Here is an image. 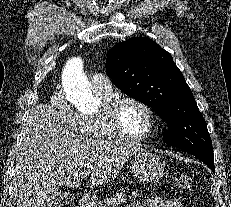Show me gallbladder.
Returning a JSON list of instances; mask_svg holds the SVG:
<instances>
[{
  "instance_id": "bac80fb5",
  "label": "gallbladder",
  "mask_w": 231,
  "mask_h": 207,
  "mask_svg": "<svg viewBox=\"0 0 231 207\" xmlns=\"http://www.w3.org/2000/svg\"><path fill=\"white\" fill-rule=\"evenodd\" d=\"M73 199L74 196L71 193L61 191L53 200V204L57 207H60L61 205L72 202Z\"/></svg>"
}]
</instances>
